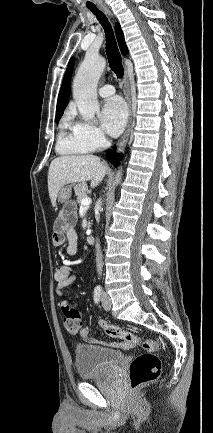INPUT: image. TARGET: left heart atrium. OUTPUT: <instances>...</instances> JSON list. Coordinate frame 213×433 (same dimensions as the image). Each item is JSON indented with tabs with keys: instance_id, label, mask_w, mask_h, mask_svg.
Segmentation results:
<instances>
[{
	"instance_id": "left-heart-atrium-1",
	"label": "left heart atrium",
	"mask_w": 213,
	"mask_h": 433,
	"mask_svg": "<svg viewBox=\"0 0 213 433\" xmlns=\"http://www.w3.org/2000/svg\"><path fill=\"white\" fill-rule=\"evenodd\" d=\"M127 115L124 102L119 97L110 98L102 108V125L111 136L116 137L123 131L127 122Z\"/></svg>"
}]
</instances>
